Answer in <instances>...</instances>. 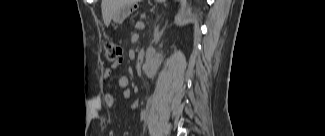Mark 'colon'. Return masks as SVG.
I'll list each match as a JSON object with an SVG mask.
<instances>
[{
  "instance_id": "obj_1",
  "label": "colon",
  "mask_w": 325,
  "mask_h": 136,
  "mask_svg": "<svg viewBox=\"0 0 325 136\" xmlns=\"http://www.w3.org/2000/svg\"><path fill=\"white\" fill-rule=\"evenodd\" d=\"M122 50L120 46L113 42L104 44V55L108 61H116L120 58Z\"/></svg>"
}]
</instances>
